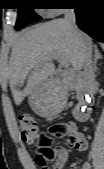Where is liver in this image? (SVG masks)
<instances>
[{
	"label": "liver",
	"mask_w": 104,
	"mask_h": 169,
	"mask_svg": "<svg viewBox=\"0 0 104 169\" xmlns=\"http://www.w3.org/2000/svg\"><path fill=\"white\" fill-rule=\"evenodd\" d=\"M84 46L92 48V39L81 31L77 36L73 35L64 19H54L19 34L13 43L7 69L15 104L19 106L54 74L52 57L61 55L74 70L80 71ZM26 80V86L21 90Z\"/></svg>",
	"instance_id": "liver-1"
}]
</instances>
